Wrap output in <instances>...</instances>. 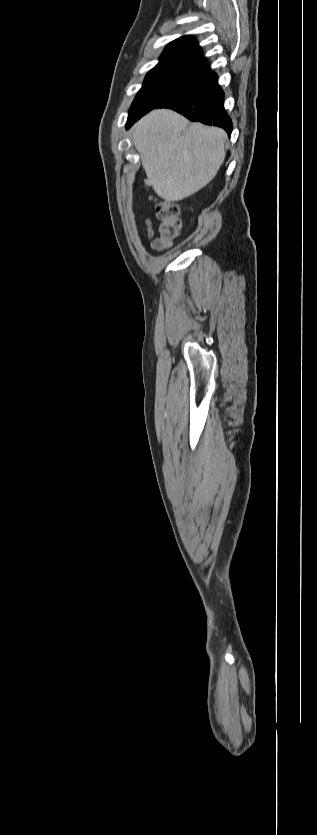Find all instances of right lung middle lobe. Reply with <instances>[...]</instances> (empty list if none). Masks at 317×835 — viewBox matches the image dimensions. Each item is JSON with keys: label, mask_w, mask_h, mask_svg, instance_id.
<instances>
[{"label": "right lung middle lobe", "mask_w": 317, "mask_h": 835, "mask_svg": "<svg viewBox=\"0 0 317 835\" xmlns=\"http://www.w3.org/2000/svg\"><path fill=\"white\" fill-rule=\"evenodd\" d=\"M206 80L197 71L191 60H183L153 68L146 75L144 84L131 106L126 128L153 108L201 85Z\"/></svg>", "instance_id": "1"}]
</instances>
